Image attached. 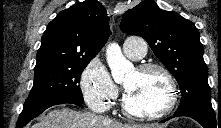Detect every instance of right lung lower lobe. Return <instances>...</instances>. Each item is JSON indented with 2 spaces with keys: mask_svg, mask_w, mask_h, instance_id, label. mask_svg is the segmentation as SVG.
<instances>
[{
  "mask_svg": "<svg viewBox=\"0 0 221 128\" xmlns=\"http://www.w3.org/2000/svg\"><path fill=\"white\" fill-rule=\"evenodd\" d=\"M64 103H70V104H75L80 107H82V103H79L77 101H73L70 99H65V98H53V99H48L45 101H42L40 103L28 106V107H23V110L19 116L18 122H17V128H22L25 126L30 120L41 114L45 109L57 105V104H64Z\"/></svg>",
  "mask_w": 221,
  "mask_h": 128,
  "instance_id": "98d812e1",
  "label": "right lung lower lobe"
}]
</instances>
